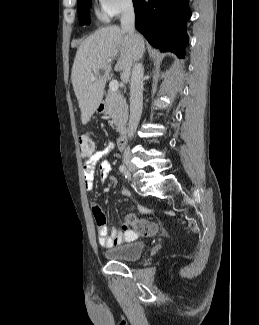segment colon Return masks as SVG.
I'll use <instances>...</instances> for the list:
<instances>
[{
	"instance_id": "obj_1",
	"label": "colon",
	"mask_w": 259,
	"mask_h": 325,
	"mask_svg": "<svg viewBox=\"0 0 259 325\" xmlns=\"http://www.w3.org/2000/svg\"><path fill=\"white\" fill-rule=\"evenodd\" d=\"M79 148L83 158H89L94 153L95 146L90 134L84 133L79 137ZM126 222L137 233L146 237L163 233L160 223L154 219H140L129 215L126 218Z\"/></svg>"
}]
</instances>
